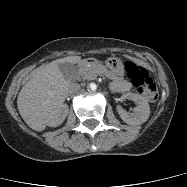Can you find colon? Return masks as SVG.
Here are the masks:
<instances>
[{
  "mask_svg": "<svg viewBox=\"0 0 187 187\" xmlns=\"http://www.w3.org/2000/svg\"><path fill=\"white\" fill-rule=\"evenodd\" d=\"M126 73L140 94L151 102L157 99V87L153 80L148 76L144 67L133 61H128L126 62Z\"/></svg>",
  "mask_w": 187,
  "mask_h": 187,
  "instance_id": "5ec220e1",
  "label": "colon"
}]
</instances>
